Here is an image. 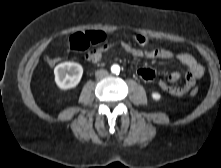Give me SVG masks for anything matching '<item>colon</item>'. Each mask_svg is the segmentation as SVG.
Returning a JSON list of instances; mask_svg holds the SVG:
<instances>
[{
  "mask_svg": "<svg viewBox=\"0 0 221 168\" xmlns=\"http://www.w3.org/2000/svg\"><path fill=\"white\" fill-rule=\"evenodd\" d=\"M105 35L101 31L78 32L73 34L69 39V47L74 51H85L91 45L100 44L104 41ZM135 41L139 46H144L148 43V39L143 35H137ZM46 62L53 67L58 63V58L47 57ZM198 89L196 87L190 90L192 96L197 95Z\"/></svg>",
  "mask_w": 221,
  "mask_h": 168,
  "instance_id": "obj_1",
  "label": "colon"
}]
</instances>
